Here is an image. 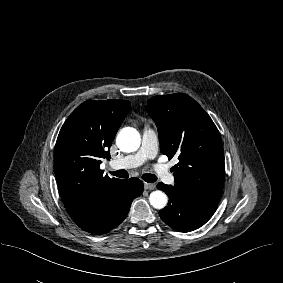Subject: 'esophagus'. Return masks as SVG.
I'll return each instance as SVG.
<instances>
[{"label":"esophagus","instance_id":"esophagus-1","mask_svg":"<svg viewBox=\"0 0 283 283\" xmlns=\"http://www.w3.org/2000/svg\"><path fill=\"white\" fill-rule=\"evenodd\" d=\"M144 188L146 190H154L156 188L155 184H151V183H144Z\"/></svg>","mask_w":283,"mask_h":283}]
</instances>
